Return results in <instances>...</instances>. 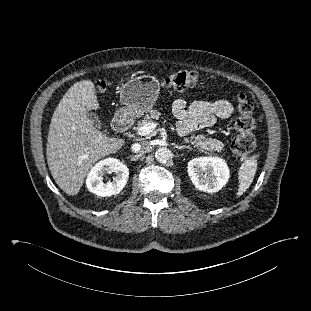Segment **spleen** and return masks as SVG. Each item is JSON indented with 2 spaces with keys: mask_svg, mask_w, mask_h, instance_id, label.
Segmentation results:
<instances>
[{
  "mask_svg": "<svg viewBox=\"0 0 311 311\" xmlns=\"http://www.w3.org/2000/svg\"><path fill=\"white\" fill-rule=\"evenodd\" d=\"M257 170V159L252 156L244 161L238 171V191L237 196L243 195V193L250 187L253 182L255 173Z\"/></svg>",
  "mask_w": 311,
  "mask_h": 311,
  "instance_id": "3e777b00",
  "label": "spleen"
}]
</instances>
